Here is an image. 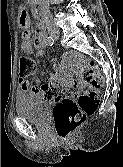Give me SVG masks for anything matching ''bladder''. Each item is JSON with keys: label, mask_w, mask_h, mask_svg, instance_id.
<instances>
[{"label": "bladder", "mask_w": 123, "mask_h": 167, "mask_svg": "<svg viewBox=\"0 0 123 167\" xmlns=\"http://www.w3.org/2000/svg\"><path fill=\"white\" fill-rule=\"evenodd\" d=\"M51 108L50 101L29 96L18 97L15 102L16 113L38 125L46 124Z\"/></svg>", "instance_id": "1"}]
</instances>
